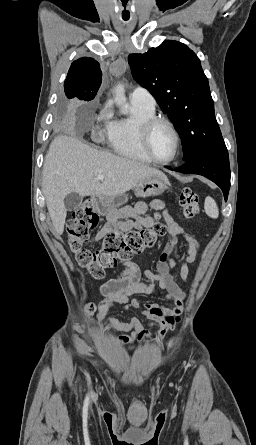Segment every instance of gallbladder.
<instances>
[{"label":"gallbladder","mask_w":256,"mask_h":445,"mask_svg":"<svg viewBox=\"0 0 256 445\" xmlns=\"http://www.w3.org/2000/svg\"><path fill=\"white\" fill-rule=\"evenodd\" d=\"M82 201L83 197L80 194L71 192L66 195L64 199V205L66 210L73 211L78 209L82 205Z\"/></svg>","instance_id":"gallbladder-1"}]
</instances>
